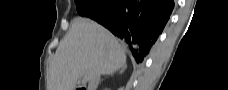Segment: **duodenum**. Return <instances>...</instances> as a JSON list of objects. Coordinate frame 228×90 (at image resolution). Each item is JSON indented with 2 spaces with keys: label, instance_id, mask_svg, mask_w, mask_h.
Wrapping results in <instances>:
<instances>
[{
  "label": "duodenum",
  "instance_id": "duodenum-1",
  "mask_svg": "<svg viewBox=\"0 0 228 90\" xmlns=\"http://www.w3.org/2000/svg\"><path fill=\"white\" fill-rule=\"evenodd\" d=\"M78 90H87L86 87H79Z\"/></svg>",
  "mask_w": 228,
  "mask_h": 90
}]
</instances>
